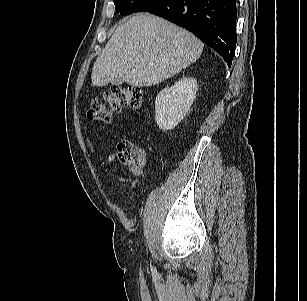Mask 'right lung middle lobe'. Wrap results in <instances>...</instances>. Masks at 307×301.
<instances>
[{"mask_svg": "<svg viewBox=\"0 0 307 301\" xmlns=\"http://www.w3.org/2000/svg\"><path fill=\"white\" fill-rule=\"evenodd\" d=\"M157 0H114L115 11L121 15L141 12L144 8Z\"/></svg>", "mask_w": 307, "mask_h": 301, "instance_id": "1", "label": "right lung middle lobe"}]
</instances>
